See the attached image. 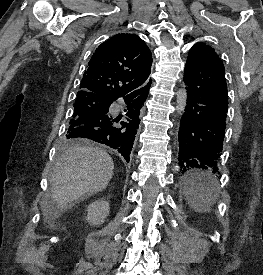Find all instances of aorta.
Wrapping results in <instances>:
<instances>
[{
    "mask_svg": "<svg viewBox=\"0 0 263 275\" xmlns=\"http://www.w3.org/2000/svg\"><path fill=\"white\" fill-rule=\"evenodd\" d=\"M187 103V92L185 89H180L176 97V111L178 114L184 112Z\"/></svg>",
    "mask_w": 263,
    "mask_h": 275,
    "instance_id": "aorta-1",
    "label": "aorta"
}]
</instances>
